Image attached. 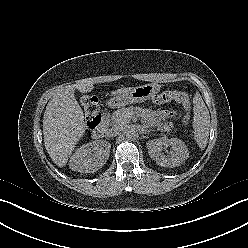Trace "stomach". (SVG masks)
I'll list each match as a JSON object with an SVG mask.
<instances>
[{
    "instance_id": "0dacf381",
    "label": "stomach",
    "mask_w": 248,
    "mask_h": 248,
    "mask_svg": "<svg viewBox=\"0 0 248 248\" xmlns=\"http://www.w3.org/2000/svg\"><path fill=\"white\" fill-rule=\"evenodd\" d=\"M159 90L160 85L157 83H149L142 86H137L112 97L108 101V105L112 108H119L132 103H141L157 94Z\"/></svg>"
}]
</instances>
